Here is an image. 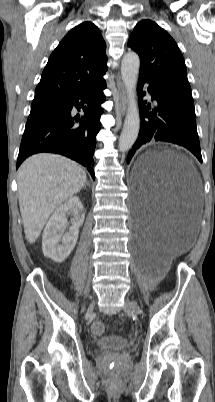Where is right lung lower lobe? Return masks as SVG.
Listing matches in <instances>:
<instances>
[{"instance_id":"right-lung-lower-lobe-1","label":"right lung lower lobe","mask_w":215,"mask_h":402,"mask_svg":"<svg viewBox=\"0 0 215 402\" xmlns=\"http://www.w3.org/2000/svg\"><path fill=\"white\" fill-rule=\"evenodd\" d=\"M105 87L106 82L102 76L90 87L65 98L57 111L25 128L17 168L32 154L51 152L79 162L95 179L93 153L96 135L101 128V104L105 101L102 91ZM73 107L78 110L79 107L83 108L84 115L74 116Z\"/></svg>"}]
</instances>
